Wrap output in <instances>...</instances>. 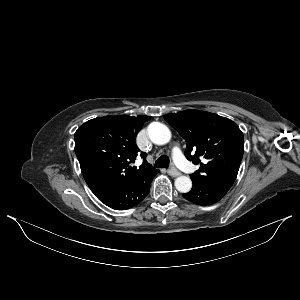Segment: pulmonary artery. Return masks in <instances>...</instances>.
Returning a JSON list of instances; mask_svg holds the SVG:
<instances>
[{"mask_svg":"<svg viewBox=\"0 0 300 300\" xmlns=\"http://www.w3.org/2000/svg\"><path fill=\"white\" fill-rule=\"evenodd\" d=\"M172 156L177 166L185 172H193L195 170L194 165L178 149H172Z\"/></svg>","mask_w":300,"mask_h":300,"instance_id":"e3ab8cb5","label":"pulmonary artery"}]
</instances>
